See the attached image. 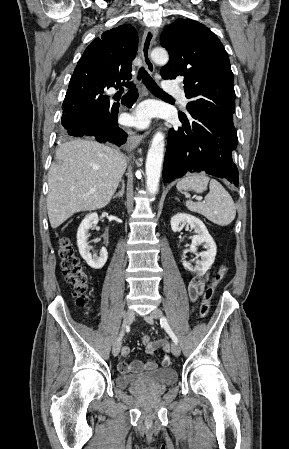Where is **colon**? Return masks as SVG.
Segmentation results:
<instances>
[{
  "mask_svg": "<svg viewBox=\"0 0 289 449\" xmlns=\"http://www.w3.org/2000/svg\"><path fill=\"white\" fill-rule=\"evenodd\" d=\"M58 254L65 280L74 290L76 304L79 307H85L88 302V276L80 262L76 250L68 238H63L60 241ZM227 272V266L220 267L215 273L211 283L204 291L203 298L200 303L201 317H206L208 315L214 290L219 282L226 276ZM149 339V336L145 335L142 338V342L147 343Z\"/></svg>",
  "mask_w": 289,
  "mask_h": 449,
  "instance_id": "obj_1",
  "label": "colon"
}]
</instances>
